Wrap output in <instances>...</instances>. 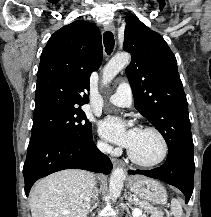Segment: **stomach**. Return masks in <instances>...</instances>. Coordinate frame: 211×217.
Masks as SVG:
<instances>
[{"mask_svg": "<svg viewBox=\"0 0 211 217\" xmlns=\"http://www.w3.org/2000/svg\"><path fill=\"white\" fill-rule=\"evenodd\" d=\"M130 190L139 197L156 204H164L167 192L163 185L152 178L134 176L131 178Z\"/></svg>", "mask_w": 211, "mask_h": 217, "instance_id": "obj_1", "label": "stomach"}]
</instances>
